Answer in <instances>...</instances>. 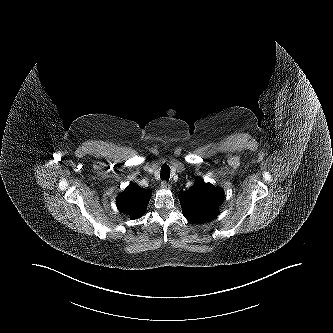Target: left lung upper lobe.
I'll return each instance as SVG.
<instances>
[{"label":"left lung upper lobe","instance_id":"1","mask_svg":"<svg viewBox=\"0 0 333 333\" xmlns=\"http://www.w3.org/2000/svg\"><path fill=\"white\" fill-rule=\"evenodd\" d=\"M223 199V189L205 183L204 180H198L189 190L179 193L183 215L200 224L218 216Z\"/></svg>","mask_w":333,"mask_h":333}]
</instances>
